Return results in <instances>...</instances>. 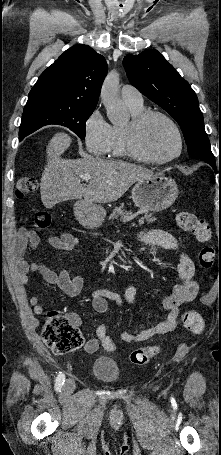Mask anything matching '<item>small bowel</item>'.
Listing matches in <instances>:
<instances>
[{
    "instance_id": "1",
    "label": "small bowel",
    "mask_w": 221,
    "mask_h": 455,
    "mask_svg": "<svg viewBox=\"0 0 221 455\" xmlns=\"http://www.w3.org/2000/svg\"><path fill=\"white\" fill-rule=\"evenodd\" d=\"M48 241L51 246L62 251H74L79 244V239L69 233L51 236ZM39 242L40 236L35 231L20 230V240L16 249V266L20 273L21 283L26 285L32 273H39L48 284L57 286L67 295H78L83 287V280L79 275L72 276L67 270L56 272L39 262L26 261L25 256L27 253L35 249ZM137 243L140 245L158 246L178 252L177 276L179 282L167 293L162 301L161 311L165 314L164 317L157 324L138 333L124 332L121 339L125 345L143 342L172 332L179 318L181 306L193 301L199 292L198 283L194 279L195 264L188 254L179 249L178 241L171 233L161 229L149 228L138 235ZM135 294L136 289L134 286L127 287L123 296L109 290L96 289L91 292L92 306L96 312L105 314L108 310V301H113L118 306L124 304L133 305ZM30 304L33 306L35 313H43L44 309L37 296L30 298ZM70 318L76 326L80 325L78 316L72 315ZM108 328V324L98 327L96 331L97 337L89 339L83 347L86 353L96 352L99 346L110 352L118 350L119 345L109 336Z\"/></svg>"
}]
</instances>
